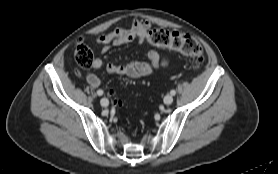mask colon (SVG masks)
I'll use <instances>...</instances> for the list:
<instances>
[{
	"mask_svg": "<svg viewBox=\"0 0 278 174\" xmlns=\"http://www.w3.org/2000/svg\"><path fill=\"white\" fill-rule=\"evenodd\" d=\"M146 40L152 45L166 47L188 56L195 68H199L203 64V48L197 39L188 34L164 29H153L148 32ZM74 60L77 66L82 69H88L92 65V51L81 40L75 45Z\"/></svg>",
	"mask_w": 278,
	"mask_h": 174,
	"instance_id": "colon-1",
	"label": "colon"
}]
</instances>
